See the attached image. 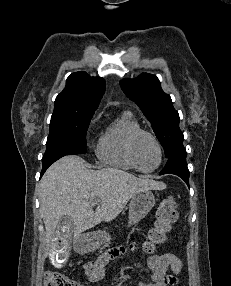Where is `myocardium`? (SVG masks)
Returning <instances> with one entry per match:
<instances>
[{"instance_id": "myocardium-1", "label": "myocardium", "mask_w": 231, "mask_h": 286, "mask_svg": "<svg viewBox=\"0 0 231 286\" xmlns=\"http://www.w3.org/2000/svg\"><path fill=\"white\" fill-rule=\"evenodd\" d=\"M143 135L148 136L149 138H151L153 140V142L155 143V145L158 149V153H159V161H158L157 165L150 170L142 169L138 165L136 157H135L134 148H135L136 141L140 136H143ZM127 154H128L129 160L132 163L133 167L137 171H139L141 173H146V174L155 172L161 166V164L163 162V157H164L163 147H162L159 139L156 137V135L154 133H152L151 131L145 130L142 128H139L130 134L128 141H127Z\"/></svg>"}]
</instances>
